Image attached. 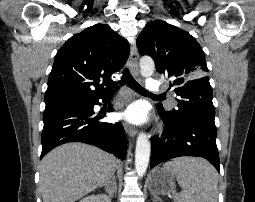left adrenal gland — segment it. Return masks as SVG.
Returning a JSON list of instances; mask_svg holds the SVG:
<instances>
[{
	"label": "left adrenal gland",
	"mask_w": 255,
	"mask_h": 202,
	"mask_svg": "<svg viewBox=\"0 0 255 202\" xmlns=\"http://www.w3.org/2000/svg\"><path fill=\"white\" fill-rule=\"evenodd\" d=\"M159 199L156 196H153V202H157Z\"/></svg>",
	"instance_id": "obj_1"
}]
</instances>
